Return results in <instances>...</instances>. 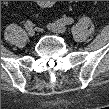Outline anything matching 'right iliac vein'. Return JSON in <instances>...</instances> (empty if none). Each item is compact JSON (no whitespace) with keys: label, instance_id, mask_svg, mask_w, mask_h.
I'll return each mask as SVG.
<instances>
[{"label":"right iliac vein","instance_id":"1","mask_svg":"<svg viewBox=\"0 0 109 109\" xmlns=\"http://www.w3.org/2000/svg\"><path fill=\"white\" fill-rule=\"evenodd\" d=\"M27 33H28V35H29L30 37H32V36L35 35V30H34V29H29V30L27 31Z\"/></svg>","mask_w":109,"mask_h":109}]
</instances>
